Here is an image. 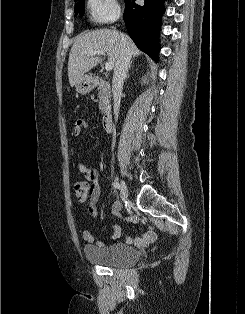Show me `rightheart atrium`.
<instances>
[{
	"mask_svg": "<svg viewBox=\"0 0 245 314\" xmlns=\"http://www.w3.org/2000/svg\"><path fill=\"white\" fill-rule=\"evenodd\" d=\"M87 9L91 21L97 24L111 23L120 15L116 0H88Z\"/></svg>",
	"mask_w": 245,
	"mask_h": 314,
	"instance_id": "1",
	"label": "right heart atrium"
}]
</instances>
